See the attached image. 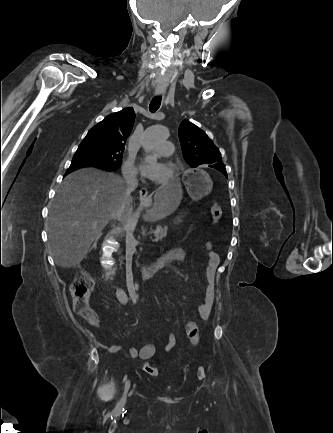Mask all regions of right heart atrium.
<instances>
[{
  "label": "right heart atrium",
  "mask_w": 333,
  "mask_h": 433,
  "mask_svg": "<svg viewBox=\"0 0 333 433\" xmlns=\"http://www.w3.org/2000/svg\"><path fill=\"white\" fill-rule=\"evenodd\" d=\"M123 173L129 179H134L137 177L138 170L132 158L125 160L123 165Z\"/></svg>",
  "instance_id": "1"
}]
</instances>
